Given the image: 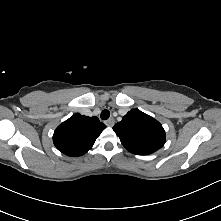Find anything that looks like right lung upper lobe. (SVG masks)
<instances>
[{
    "label": "right lung upper lobe",
    "instance_id": "1",
    "mask_svg": "<svg viewBox=\"0 0 221 221\" xmlns=\"http://www.w3.org/2000/svg\"><path fill=\"white\" fill-rule=\"evenodd\" d=\"M106 125L97 117H88L76 113L60 124L53 135L56 148L68 156L85 154Z\"/></svg>",
    "mask_w": 221,
    "mask_h": 221
}]
</instances>
